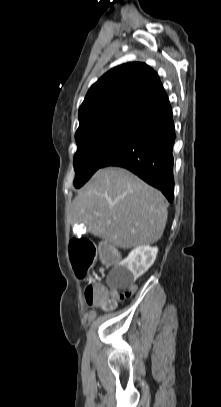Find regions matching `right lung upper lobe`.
<instances>
[{
    "instance_id": "cb5924a9",
    "label": "right lung upper lobe",
    "mask_w": 221,
    "mask_h": 407,
    "mask_svg": "<svg viewBox=\"0 0 221 407\" xmlns=\"http://www.w3.org/2000/svg\"><path fill=\"white\" fill-rule=\"evenodd\" d=\"M167 104L168 97L152 68L139 62L117 66L89 89L79 108L75 139L116 124H140Z\"/></svg>"
}]
</instances>
